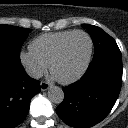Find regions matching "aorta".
Wrapping results in <instances>:
<instances>
[{
  "mask_svg": "<svg viewBox=\"0 0 128 128\" xmlns=\"http://www.w3.org/2000/svg\"><path fill=\"white\" fill-rule=\"evenodd\" d=\"M48 99L55 104L62 103L64 99V92L60 87L54 86L48 90Z\"/></svg>",
  "mask_w": 128,
  "mask_h": 128,
  "instance_id": "1",
  "label": "aorta"
}]
</instances>
